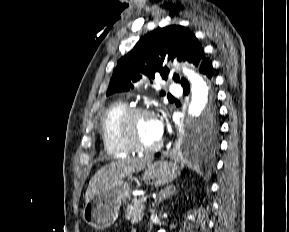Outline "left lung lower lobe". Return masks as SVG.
I'll list each match as a JSON object with an SVG mask.
<instances>
[{"instance_id":"obj_1","label":"left lung lower lobe","mask_w":289,"mask_h":232,"mask_svg":"<svg viewBox=\"0 0 289 232\" xmlns=\"http://www.w3.org/2000/svg\"><path fill=\"white\" fill-rule=\"evenodd\" d=\"M199 71L206 75V77L211 80L212 76H213V67H212V63L210 61V59L203 57L200 65H199ZM183 89H184V93L188 94L189 92V83L188 81L185 82L183 85ZM159 154H156V156H158Z\"/></svg>"}]
</instances>
